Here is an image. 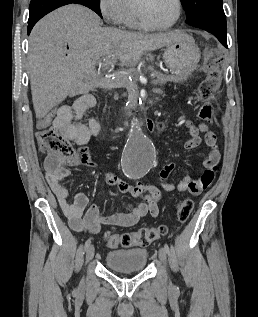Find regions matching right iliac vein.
Wrapping results in <instances>:
<instances>
[{
	"mask_svg": "<svg viewBox=\"0 0 258 317\" xmlns=\"http://www.w3.org/2000/svg\"><path fill=\"white\" fill-rule=\"evenodd\" d=\"M95 254V246L94 245H89L86 253H85V261L86 262H91L92 261V257Z\"/></svg>",
	"mask_w": 258,
	"mask_h": 317,
	"instance_id": "obj_1",
	"label": "right iliac vein"
}]
</instances>
